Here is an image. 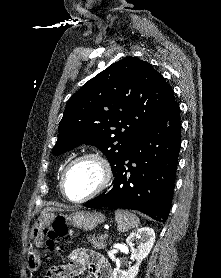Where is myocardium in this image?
Returning a JSON list of instances; mask_svg holds the SVG:
<instances>
[{"instance_id": "myocardium-1", "label": "myocardium", "mask_w": 221, "mask_h": 278, "mask_svg": "<svg viewBox=\"0 0 221 278\" xmlns=\"http://www.w3.org/2000/svg\"><path fill=\"white\" fill-rule=\"evenodd\" d=\"M84 160L94 161L100 168L101 177H100V180H99L98 184L96 185V187L90 193H88L86 196H84L80 199H71L67 195L66 188H65L67 175L73 165H75L76 163H78L80 161H84ZM112 177H113L112 167H111L110 163L104 157H102L101 155L94 153V152L82 153V154L77 155L73 159H71L68 162V164L65 166V168L63 169V172L61 174V179H60L61 193H62L63 197L66 200H68L69 202L84 203V202L96 197L101 192H103L108 187V185L111 183Z\"/></svg>"}]
</instances>
